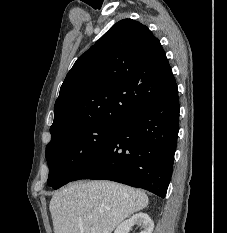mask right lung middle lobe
Returning a JSON list of instances; mask_svg holds the SVG:
<instances>
[{"label": "right lung middle lobe", "instance_id": "right-lung-middle-lobe-1", "mask_svg": "<svg viewBox=\"0 0 227 233\" xmlns=\"http://www.w3.org/2000/svg\"><path fill=\"white\" fill-rule=\"evenodd\" d=\"M119 123H94L75 127L51 138L46 148L48 186L58 189L73 177L106 144Z\"/></svg>", "mask_w": 227, "mask_h": 233}]
</instances>
